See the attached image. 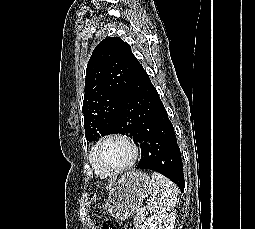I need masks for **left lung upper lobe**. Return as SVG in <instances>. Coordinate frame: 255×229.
<instances>
[{"label":"left lung upper lobe","instance_id":"5c2ea615","mask_svg":"<svg viewBox=\"0 0 255 229\" xmlns=\"http://www.w3.org/2000/svg\"><path fill=\"white\" fill-rule=\"evenodd\" d=\"M139 64L130 45L119 37L105 38L95 47L87 64L82 107L88 141L114 133L135 140L118 118Z\"/></svg>","mask_w":255,"mask_h":229}]
</instances>
